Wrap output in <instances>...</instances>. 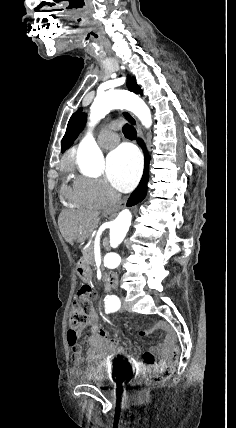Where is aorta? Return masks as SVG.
<instances>
[{
	"label": "aorta",
	"instance_id": "762f6f07",
	"mask_svg": "<svg viewBox=\"0 0 236 428\" xmlns=\"http://www.w3.org/2000/svg\"><path fill=\"white\" fill-rule=\"evenodd\" d=\"M113 109H127L133 112L147 128L152 124L150 109L141 98L127 90H110L97 95L91 105L89 127H94ZM78 162L81 168L90 173H98L103 167V154L90 132L79 145ZM131 221V212L123 210L111 222L109 234L111 247L116 248L122 243ZM103 262L105 267L114 269L120 265L121 257L116 252H108Z\"/></svg>",
	"mask_w": 236,
	"mask_h": 428
}]
</instances>
